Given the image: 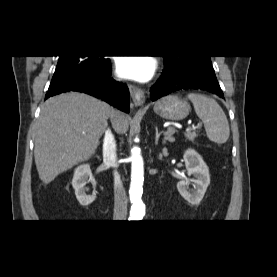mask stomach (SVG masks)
I'll return each mask as SVG.
<instances>
[{"label":"stomach","mask_w":277,"mask_h":277,"mask_svg":"<svg viewBox=\"0 0 277 277\" xmlns=\"http://www.w3.org/2000/svg\"><path fill=\"white\" fill-rule=\"evenodd\" d=\"M154 111L164 119L179 121L188 116L190 106L184 99L168 95L155 103Z\"/></svg>","instance_id":"stomach-1"}]
</instances>
